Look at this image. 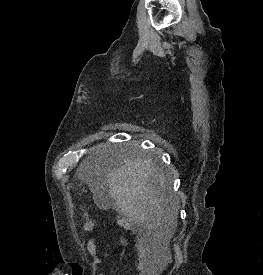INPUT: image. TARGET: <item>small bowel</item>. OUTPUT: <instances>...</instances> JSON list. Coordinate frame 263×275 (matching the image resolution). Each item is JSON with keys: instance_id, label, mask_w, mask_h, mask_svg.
<instances>
[{"instance_id": "obj_1", "label": "small bowel", "mask_w": 263, "mask_h": 275, "mask_svg": "<svg viewBox=\"0 0 263 275\" xmlns=\"http://www.w3.org/2000/svg\"><path fill=\"white\" fill-rule=\"evenodd\" d=\"M95 227V222L88 221L83 226L84 232L92 231ZM136 250H137V263H136V270L137 275H153L154 269L151 263L149 262V250L148 247L143 243L140 238H136ZM87 250L90 255L93 257V262L91 266L95 268L101 261L100 258L97 256V248L94 239H91L87 243ZM104 275V274H99Z\"/></svg>"}]
</instances>
